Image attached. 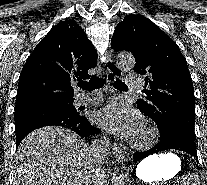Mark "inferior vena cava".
<instances>
[{
  "label": "inferior vena cava",
  "instance_id": "inferior-vena-cava-1",
  "mask_svg": "<svg viewBox=\"0 0 207 185\" xmlns=\"http://www.w3.org/2000/svg\"><path fill=\"white\" fill-rule=\"evenodd\" d=\"M90 149H91V151H93V153H96L95 147H90ZM95 161L97 163L98 159H95ZM95 181H96L95 185H98V183H100L99 177H95ZM88 185H89V183H88Z\"/></svg>",
  "mask_w": 207,
  "mask_h": 185
}]
</instances>
